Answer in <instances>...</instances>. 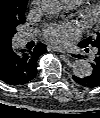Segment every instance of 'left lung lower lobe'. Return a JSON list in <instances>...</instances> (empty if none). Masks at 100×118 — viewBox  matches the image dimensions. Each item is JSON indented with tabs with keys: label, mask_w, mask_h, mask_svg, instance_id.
<instances>
[{
	"label": "left lung lower lobe",
	"mask_w": 100,
	"mask_h": 118,
	"mask_svg": "<svg viewBox=\"0 0 100 118\" xmlns=\"http://www.w3.org/2000/svg\"><path fill=\"white\" fill-rule=\"evenodd\" d=\"M79 46L81 48H86L85 50L88 51L87 46H83L80 45ZM94 49L96 50V56L93 60V62L91 63L92 65V73L91 75L84 77V78H79L77 76H73V80L85 87H96V86H100V45L97 47H94ZM77 58H79V56H77Z\"/></svg>",
	"instance_id": "1"
}]
</instances>
